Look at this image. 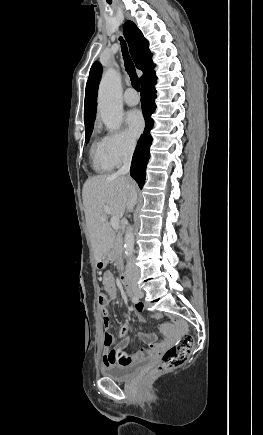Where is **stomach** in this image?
I'll return each mask as SVG.
<instances>
[{"mask_svg":"<svg viewBox=\"0 0 263 435\" xmlns=\"http://www.w3.org/2000/svg\"><path fill=\"white\" fill-rule=\"evenodd\" d=\"M109 260V256H106L102 258L101 260L97 261V265L99 268H104L107 265V262Z\"/></svg>","mask_w":263,"mask_h":435,"instance_id":"stomach-1","label":"stomach"}]
</instances>
